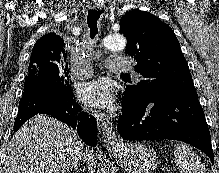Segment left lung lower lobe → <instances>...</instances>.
<instances>
[{
    "instance_id": "left-lung-lower-lobe-1",
    "label": "left lung lower lobe",
    "mask_w": 219,
    "mask_h": 173,
    "mask_svg": "<svg viewBox=\"0 0 219 173\" xmlns=\"http://www.w3.org/2000/svg\"><path fill=\"white\" fill-rule=\"evenodd\" d=\"M122 104L118 131L123 139L180 140L203 151L214 163L209 128L196 92L144 101L124 94Z\"/></svg>"
}]
</instances>
